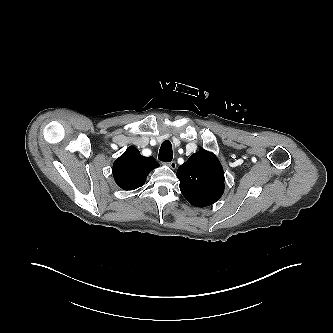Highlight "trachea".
<instances>
[{
	"mask_svg": "<svg viewBox=\"0 0 333 333\" xmlns=\"http://www.w3.org/2000/svg\"><path fill=\"white\" fill-rule=\"evenodd\" d=\"M173 158L172 144L166 140L161 144L158 159L163 162H171Z\"/></svg>",
	"mask_w": 333,
	"mask_h": 333,
	"instance_id": "obj_1",
	"label": "trachea"
}]
</instances>
